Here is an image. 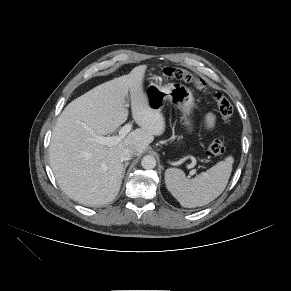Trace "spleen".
I'll return each instance as SVG.
<instances>
[{"mask_svg": "<svg viewBox=\"0 0 291 291\" xmlns=\"http://www.w3.org/2000/svg\"><path fill=\"white\" fill-rule=\"evenodd\" d=\"M233 161V157L229 156L192 179H187L180 169L169 168L165 172L166 187L183 207L207 205L219 197L227 186Z\"/></svg>", "mask_w": 291, "mask_h": 291, "instance_id": "obj_1", "label": "spleen"}]
</instances>
